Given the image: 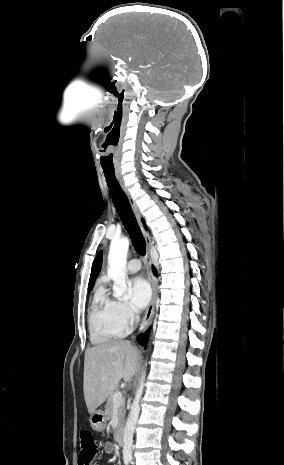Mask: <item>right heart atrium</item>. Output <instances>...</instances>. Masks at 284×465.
Returning a JSON list of instances; mask_svg holds the SVG:
<instances>
[{"instance_id": "1", "label": "right heart atrium", "mask_w": 284, "mask_h": 465, "mask_svg": "<svg viewBox=\"0 0 284 465\" xmlns=\"http://www.w3.org/2000/svg\"><path fill=\"white\" fill-rule=\"evenodd\" d=\"M119 323L126 328L132 327L138 320L136 314L124 303L111 301Z\"/></svg>"}]
</instances>
